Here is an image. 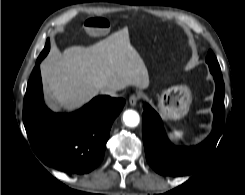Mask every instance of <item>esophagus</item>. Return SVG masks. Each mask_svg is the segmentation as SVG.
<instances>
[{
    "mask_svg": "<svg viewBox=\"0 0 245 195\" xmlns=\"http://www.w3.org/2000/svg\"><path fill=\"white\" fill-rule=\"evenodd\" d=\"M140 99V96L138 94H133L129 98V103L131 106H135Z\"/></svg>",
    "mask_w": 245,
    "mask_h": 195,
    "instance_id": "1",
    "label": "esophagus"
}]
</instances>
